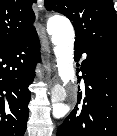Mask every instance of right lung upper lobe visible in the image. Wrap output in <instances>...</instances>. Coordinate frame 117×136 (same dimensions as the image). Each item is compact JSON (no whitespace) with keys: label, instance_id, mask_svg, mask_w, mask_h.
Wrapping results in <instances>:
<instances>
[{"label":"right lung upper lobe","instance_id":"1","mask_svg":"<svg viewBox=\"0 0 117 136\" xmlns=\"http://www.w3.org/2000/svg\"><path fill=\"white\" fill-rule=\"evenodd\" d=\"M34 2L36 0H0V48L35 31Z\"/></svg>","mask_w":117,"mask_h":136}]
</instances>
